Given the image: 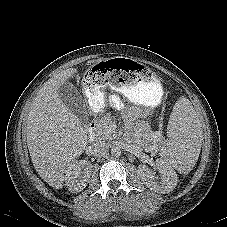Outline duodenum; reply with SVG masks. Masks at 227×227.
I'll use <instances>...</instances> for the list:
<instances>
[{
  "instance_id": "obj_1",
  "label": "duodenum",
  "mask_w": 227,
  "mask_h": 227,
  "mask_svg": "<svg viewBox=\"0 0 227 227\" xmlns=\"http://www.w3.org/2000/svg\"><path fill=\"white\" fill-rule=\"evenodd\" d=\"M87 136L90 141L95 139L96 136V122L92 120L87 126Z\"/></svg>"
}]
</instances>
